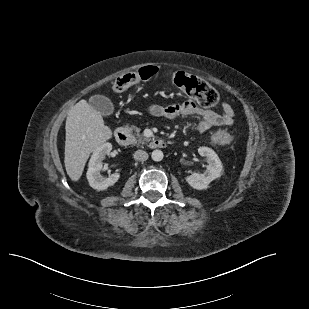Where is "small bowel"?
Returning a JSON list of instances; mask_svg holds the SVG:
<instances>
[{
  "mask_svg": "<svg viewBox=\"0 0 309 309\" xmlns=\"http://www.w3.org/2000/svg\"><path fill=\"white\" fill-rule=\"evenodd\" d=\"M221 112L208 110L197 106L192 101L171 104L167 106L150 105L147 110L152 116L175 119L178 116H194L199 119L196 128L203 133L213 127L230 126L234 123L235 113L227 103L221 104Z\"/></svg>",
  "mask_w": 309,
  "mask_h": 309,
  "instance_id": "c3829d8e",
  "label": "small bowel"
}]
</instances>
